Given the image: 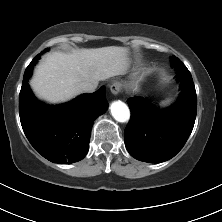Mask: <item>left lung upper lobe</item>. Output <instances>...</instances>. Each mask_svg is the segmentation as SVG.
<instances>
[{"instance_id": "1", "label": "left lung upper lobe", "mask_w": 222, "mask_h": 222, "mask_svg": "<svg viewBox=\"0 0 222 222\" xmlns=\"http://www.w3.org/2000/svg\"><path fill=\"white\" fill-rule=\"evenodd\" d=\"M172 67H174L178 73L188 71L186 66L176 57L172 59Z\"/></svg>"}]
</instances>
